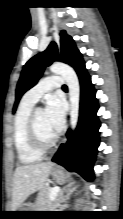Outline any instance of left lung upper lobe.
<instances>
[{
  "label": "left lung upper lobe",
  "mask_w": 123,
  "mask_h": 219,
  "mask_svg": "<svg viewBox=\"0 0 123 219\" xmlns=\"http://www.w3.org/2000/svg\"><path fill=\"white\" fill-rule=\"evenodd\" d=\"M60 36L61 52L59 60L71 65L75 69L83 62L82 56L76 48L73 39L66 34L65 30L61 31ZM57 58L58 47L55 42H51L44 52L35 55L24 65L16 87V99L13 112H15L22 95L36 85L45 67L49 66Z\"/></svg>",
  "instance_id": "1"
}]
</instances>
